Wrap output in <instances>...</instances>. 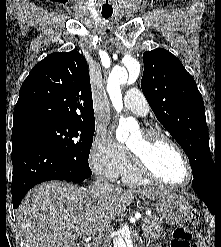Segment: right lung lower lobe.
<instances>
[{"label": "right lung lower lobe", "instance_id": "right-lung-lower-lobe-1", "mask_svg": "<svg viewBox=\"0 0 221 247\" xmlns=\"http://www.w3.org/2000/svg\"><path fill=\"white\" fill-rule=\"evenodd\" d=\"M12 163L14 208L38 183L50 180L81 183L92 174L88 164L68 157L44 141L24 135H12Z\"/></svg>", "mask_w": 221, "mask_h": 247}]
</instances>
